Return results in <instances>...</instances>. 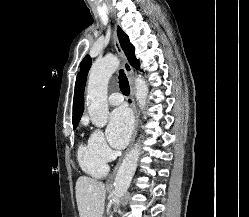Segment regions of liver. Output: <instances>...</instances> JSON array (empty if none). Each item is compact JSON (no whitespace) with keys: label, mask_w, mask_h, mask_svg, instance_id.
Returning <instances> with one entry per match:
<instances>
[{"label":"liver","mask_w":249,"mask_h":217,"mask_svg":"<svg viewBox=\"0 0 249 217\" xmlns=\"http://www.w3.org/2000/svg\"><path fill=\"white\" fill-rule=\"evenodd\" d=\"M76 201L80 217H102L106 188L103 182L81 176L76 182Z\"/></svg>","instance_id":"obj_1"}]
</instances>
